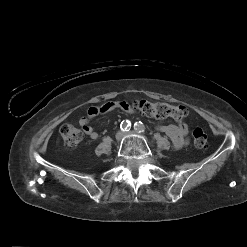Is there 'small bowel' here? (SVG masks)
Returning a JSON list of instances; mask_svg holds the SVG:
<instances>
[{
	"instance_id": "c3829d8e",
	"label": "small bowel",
	"mask_w": 247,
	"mask_h": 247,
	"mask_svg": "<svg viewBox=\"0 0 247 247\" xmlns=\"http://www.w3.org/2000/svg\"><path fill=\"white\" fill-rule=\"evenodd\" d=\"M114 109H120L126 113H134V109L127 102H108L102 106L90 107L87 111V115L80 118L79 124L82 127L84 133L91 139L95 140L98 138V133L90 126V121L98 116L109 112ZM157 129L165 133L172 141L176 148H182L188 143V126L184 122L178 124L160 125Z\"/></svg>"
}]
</instances>
